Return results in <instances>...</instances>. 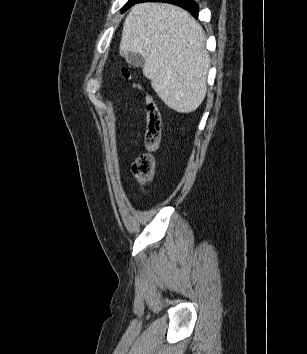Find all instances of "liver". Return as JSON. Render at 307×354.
<instances>
[{
  "label": "liver",
  "mask_w": 307,
  "mask_h": 354,
  "mask_svg": "<svg viewBox=\"0 0 307 354\" xmlns=\"http://www.w3.org/2000/svg\"><path fill=\"white\" fill-rule=\"evenodd\" d=\"M205 40L202 27L186 10L166 3H140L125 19L120 54L143 56V74L159 98L178 113H190L207 91L210 57Z\"/></svg>",
  "instance_id": "obj_1"
}]
</instances>
